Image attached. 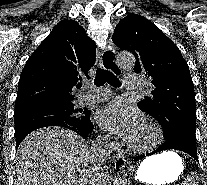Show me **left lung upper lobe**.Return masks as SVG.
<instances>
[{
    "label": "left lung upper lobe",
    "instance_id": "1",
    "mask_svg": "<svg viewBox=\"0 0 207 185\" xmlns=\"http://www.w3.org/2000/svg\"><path fill=\"white\" fill-rule=\"evenodd\" d=\"M112 40L134 54V72L151 79L152 97L138 102L139 109L159 122L165 140L181 136L196 148L194 85L178 47L151 21L133 13L118 23Z\"/></svg>",
    "mask_w": 207,
    "mask_h": 185
}]
</instances>
